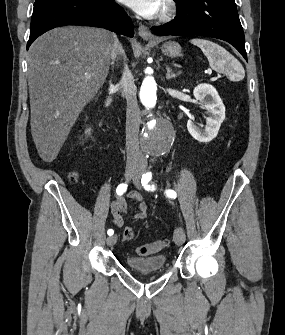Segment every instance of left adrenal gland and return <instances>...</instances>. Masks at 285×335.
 <instances>
[{
  "mask_svg": "<svg viewBox=\"0 0 285 335\" xmlns=\"http://www.w3.org/2000/svg\"><path fill=\"white\" fill-rule=\"evenodd\" d=\"M166 70H167L166 80H170V78H177V76H180L181 74V72H177V74H174V72H172L169 66H166Z\"/></svg>",
  "mask_w": 285,
  "mask_h": 335,
  "instance_id": "obj_1",
  "label": "left adrenal gland"
}]
</instances>
